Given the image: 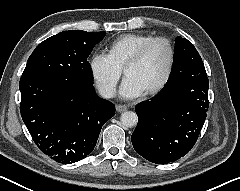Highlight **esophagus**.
I'll list each match as a JSON object with an SVG mask.
<instances>
[{
    "instance_id": "esophagus-1",
    "label": "esophagus",
    "mask_w": 240,
    "mask_h": 191,
    "mask_svg": "<svg viewBox=\"0 0 240 191\" xmlns=\"http://www.w3.org/2000/svg\"><path fill=\"white\" fill-rule=\"evenodd\" d=\"M127 110V106L125 105H116V111L121 113Z\"/></svg>"
}]
</instances>
